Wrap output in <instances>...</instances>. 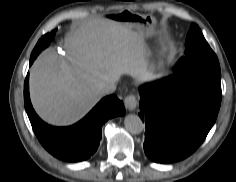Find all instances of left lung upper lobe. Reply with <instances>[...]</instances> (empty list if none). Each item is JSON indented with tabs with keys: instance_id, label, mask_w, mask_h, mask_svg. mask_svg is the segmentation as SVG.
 Masks as SVG:
<instances>
[{
	"instance_id": "left-lung-upper-lobe-1",
	"label": "left lung upper lobe",
	"mask_w": 236,
	"mask_h": 182,
	"mask_svg": "<svg viewBox=\"0 0 236 182\" xmlns=\"http://www.w3.org/2000/svg\"><path fill=\"white\" fill-rule=\"evenodd\" d=\"M185 57H182L175 69L203 74L221 79L220 65L216 54L208 45L200 28L192 23L186 38Z\"/></svg>"
}]
</instances>
